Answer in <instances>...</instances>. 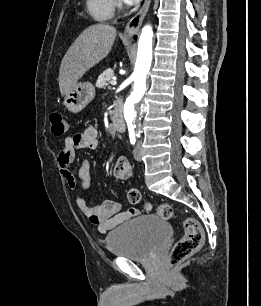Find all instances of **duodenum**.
<instances>
[{
	"instance_id": "410a0bca",
	"label": "duodenum",
	"mask_w": 261,
	"mask_h": 306,
	"mask_svg": "<svg viewBox=\"0 0 261 306\" xmlns=\"http://www.w3.org/2000/svg\"><path fill=\"white\" fill-rule=\"evenodd\" d=\"M111 121L113 126L118 131H124L126 128L123 114L118 106L111 111Z\"/></svg>"
}]
</instances>
